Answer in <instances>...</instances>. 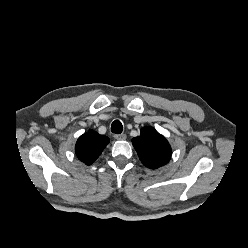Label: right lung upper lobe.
<instances>
[{
	"label": "right lung upper lobe",
	"mask_w": 248,
	"mask_h": 248,
	"mask_svg": "<svg viewBox=\"0 0 248 248\" xmlns=\"http://www.w3.org/2000/svg\"><path fill=\"white\" fill-rule=\"evenodd\" d=\"M109 143V138L89 130L79 137L75 152L80 161L86 165L92 164Z\"/></svg>",
	"instance_id": "1"
}]
</instances>
